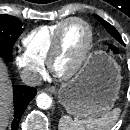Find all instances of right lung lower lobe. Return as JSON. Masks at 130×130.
<instances>
[{
  "mask_svg": "<svg viewBox=\"0 0 130 130\" xmlns=\"http://www.w3.org/2000/svg\"><path fill=\"white\" fill-rule=\"evenodd\" d=\"M14 93V119L11 130H18L19 121L29 102L35 97L36 89L26 86H13Z\"/></svg>",
  "mask_w": 130,
  "mask_h": 130,
  "instance_id": "right-lung-lower-lobe-1",
  "label": "right lung lower lobe"
}]
</instances>
